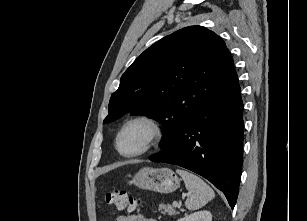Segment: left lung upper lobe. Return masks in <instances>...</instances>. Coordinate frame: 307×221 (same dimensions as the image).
<instances>
[{
    "label": "left lung upper lobe",
    "instance_id": "left-lung-upper-lobe-1",
    "mask_svg": "<svg viewBox=\"0 0 307 221\" xmlns=\"http://www.w3.org/2000/svg\"><path fill=\"white\" fill-rule=\"evenodd\" d=\"M235 73L233 59L219 36L202 26L180 29L146 49L125 71L104 122L127 112L147 115L165 126L163 148Z\"/></svg>",
    "mask_w": 307,
    "mask_h": 221
}]
</instances>
